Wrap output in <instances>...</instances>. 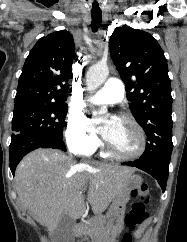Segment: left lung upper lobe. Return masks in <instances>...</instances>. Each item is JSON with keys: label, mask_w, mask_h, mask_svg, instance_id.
<instances>
[{"label": "left lung upper lobe", "mask_w": 187, "mask_h": 242, "mask_svg": "<svg viewBox=\"0 0 187 242\" xmlns=\"http://www.w3.org/2000/svg\"><path fill=\"white\" fill-rule=\"evenodd\" d=\"M109 47L125 83L129 107L147 135L140 158L171 156L172 96L163 50L152 35L126 25L115 29Z\"/></svg>", "instance_id": "obj_1"}]
</instances>
